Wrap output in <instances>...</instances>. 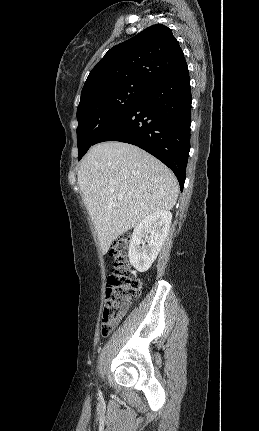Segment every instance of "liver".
I'll list each match as a JSON object with an SVG mask.
<instances>
[{
	"label": "liver",
	"instance_id": "liver-1",
	"mask_svg": "<svg viewBox=\"0 0 259 431\" xmlns=\"http://www.w3.org/2000/svg\"><path fill=\"white\" fill-rule=\"evenodd\" d=\"M78 185L102 254L148 215L172 209L179 194L168 167L139 147L117 141L99 143L87 152Z\"/></svg>",
	"mask_w": 259,
	"mask_h": 431
}]
</instances>
